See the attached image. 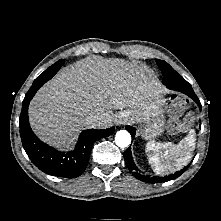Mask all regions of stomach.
<instances>
[{"instance_id":"0dacf381","label":"stomach","mask_w":221,"mask_h":221,"mask_svg":"<svg viewBox=\"0 0 221 221\" xmlns=\"http://www.w3.org/2000/svg\"><path fill=\"white\" fill-rule=\"evenodd\" d=\"M161 104L162 98H159L144 108L124 110L121 115L125 116L130 123H138L142 136L145 139H151L164 130L165 119Z\"/></svg>"}]
</instances>
